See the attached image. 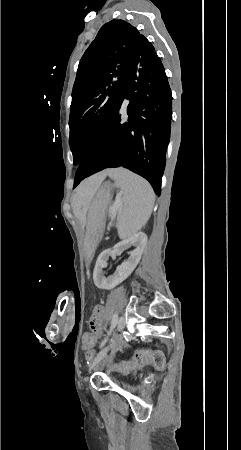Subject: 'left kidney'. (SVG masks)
<instances>
[{"label":"left kidney","instance_id":"5707ae66","mask_svg":"<svg viewBox=\"0 0 241 450\" xmlns=\"http://www.w3.org/2000/svg\"><path fill=\"white\" fill-rule=\"evenodd\" d=\"M147 240L148 238L144 232H138V234H133V236H130L127 240H123V242L116 244L113 250H104V252H101L93 272L95 286L100 288V290H112V288H115V286L124 282V280L132 274L133 270H135L137 264H139ZM131 246H135V250L130 252L128 260H125L121 266H118L113 276L105 278V276H103V268H106L109 256H119L121 252L128 250Z\"/></svg>","mask_w":241,"mask_h":450}]
</instances>
